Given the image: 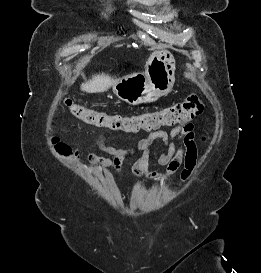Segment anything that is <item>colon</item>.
Wrapping results in <instances>:
<instances>
[{"label": "colon", "mask_w": 261, "mask_h": 273, "mask_svg": "<svg viewBox=\"0 0 261 273\" xmlns=\"http://www.w3.org/2000/svg\"><path fill=\"white\" fill-rule=\"evenodd\" d=\"M65 104L74 116L87 124L113 131L127 132L183 124L198 117L204 110L203 102L196 95H190L184 101L159 111L131 116L109 115L105 112L85 108L69 99ZM52 144L60 156L66 157L71 152V148L57 137L52 139Z\"/></svg>", "instance_id": "obj_1"}]
</instances>
